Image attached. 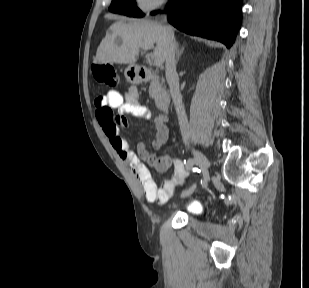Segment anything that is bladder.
<instances>
[{"mask_svg":"<svg viewBox=\"0 0 309 288\" xmlns=\"http://www.w3.org/2000/svg\"><path fill=\"white\" fill-rule=\"evenodd\" d=\"M188 207L193 212H198L201 209V204L198 201H191L188 203Z\"/></svg>","mask_w":309,"mask_h":288,"instance_id":"bladder-1","label":"bladder"}]
</instances>
